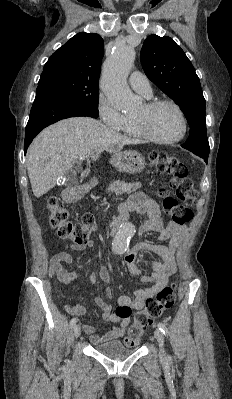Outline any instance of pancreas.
I'll list each match as a JSON object with an SVG mask.
<instances>
[{
    "mask_svg": "<svg viewBox=\"0 0 232 399\" xmlns=\"http://www.w3.org/2000/svg\"><path fill=\"white\" fill-rule=\"evenodd\" d=\"M142 184L140 182H135V184H126V182H112L109 184L108 192H115L116 196L119 194H131V192H136L138 188H141Z\"/></svg>",
    "mask_w": 232,
    "mask_h": 399,
    "instance_id": "pancreas-1",
    "label": "pancreas"
}]
</instances>
